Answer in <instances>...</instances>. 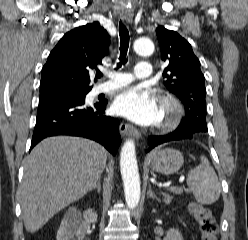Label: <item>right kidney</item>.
<instances>
[{
	"label": "right kidney",
	"instance_id": "ca27d5eb",
	"mask_svg": "<svg viewBox=\"0 0 248 240\" xmlns=\"http://www.w3.org/2000/svg\"><path fill=\"white\" fill-rule=\"evenodd\" d=\"M80 216L81 214H78V217ZM83 218L84 222L64 218L57 231L56 240H71L74 239L75 236H77L78 240H82L87 230V224L97 221V213L92 209H87L83 212Z\"/></svg>",
	"mask_w": 248,
	"mask_h": 240
}]
</instances>
